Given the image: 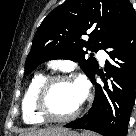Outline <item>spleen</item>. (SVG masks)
<instances>
[{
  "label": "spleen",
  "instance_id": "3e777b00",
  "mask_svg": "<svg viewBox=\"0 0 136 136\" xmlns=\"http://www.w3.org/2000/svg\"><path fill=\"white\" fill-rule=\"evenodd\" d=\"M81 136H96L95 134H92V133H83L81 134Z\"/></svg>",
  "mask_w": 136,
  "mask_h": 136
}]
</instances>
